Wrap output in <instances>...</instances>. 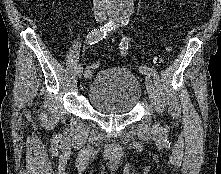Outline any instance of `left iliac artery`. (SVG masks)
<instances>
[{"mask_svg": "<svg viewBox=\"0 0 221 174\" xmlns=\"http://www.w3.org/2000/svg\"><path fill=\"white\" fill-rule=\"evenodd\" d=\"M127 23H128L127 20L117 21V22H115V27L122 26V25H127ZM128 45H129V38L128 37H124L122 39L121 43H120V50H121V54L122 55H126L127 54ZM139 71L141 73H144V74H148V75L151 74V70L147 66H141L139 68Z\"/></svg>", "mask_w": 221, "mask_h": 174, "instance_id": "1", "label": "left iliac artery"}]
</instances>
